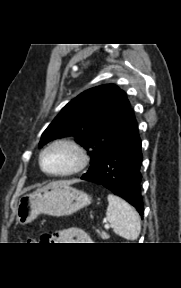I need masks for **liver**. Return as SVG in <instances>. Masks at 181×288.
I'll list each match as a JSON object with an SVG mask.
<instances>
[{
	"mask_svg": "<svg viewBox=\"0 0 181 288\" xmlns=\"http://www.w3.org/2000/svg\"><path fill=\"white\" fill-rule=\"evenodd\" d=\"M73 182H74V181H68V183H70V184L73 183Z\"/></svg>",
	"mask_w": 181,
	"mask_h": 288,
	"instance_id": "6515ba94",
	"label": "liver"
}]
</instances>
